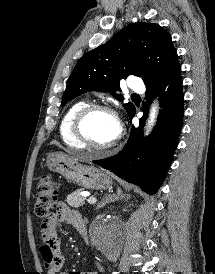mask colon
Masks as SVG:
<instances>
[{
  "instance_id": "obj_1",
  "label": "colon",
  "mask_w": 215,
  "mask_h": 274,
  "mask_svg": "<svg viewBox=\"0 0 215 274\" xmlns=\"http://www.w3.org/2000/svg\"><path fill=\"white\" fill-rule=\"evenodd\" d=\"M58 188L48 175L42 176L36 192L35 215L45 220L57 205Z\"/></svg>"
}]
</instances>
